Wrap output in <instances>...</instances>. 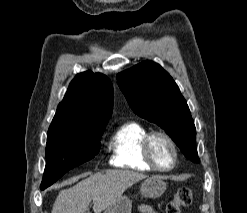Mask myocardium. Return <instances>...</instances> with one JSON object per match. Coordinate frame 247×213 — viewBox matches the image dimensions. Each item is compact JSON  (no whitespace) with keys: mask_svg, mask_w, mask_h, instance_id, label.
<instances>
[{"mask_svg":"<svg viewBox=\"0 0 247 213\" xmlns=\"http://www.w3.org/2000/svg\"><path fill=\"white\" fill-rule=\"evenodd\" d=\"M157 137H161V138L165 139L169 143L170 147L172 148L173 162H172L170 167H167V168L161 167L154 158V155L152 152V143H153V140ZM142 152H143V156H144L146 162L156 171L169 172V171L173 170L178 163L179 154H178L177 145H176L175 141L173 140V138L164 131H151V132H149L143 140Z\"/></svg>","mask_w":247,"mask_h":213,"instance_id":"myocardium-1","label":"myocardium"}]
</instances>
